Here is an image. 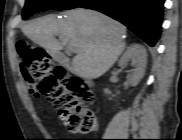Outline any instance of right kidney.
<instances>
[{
  "mask_svg": "<svg viewBox=\"0 0 182 140\" xmlns=\"http://www.w3.org/2000/svg\"><path fill=\"white\" fill-rule=\"evenodd\" d=\"M129 61H131L134 69L130 71L127 79L131 86H137L145 73L147 62L145 48L140 44H132L121 57L119 65L124 67Z\"/></svg>",
  "mask_w": 182,
  "mask_h": 140,
  "instance_id": "obj_1",
  "label": "right kidney"
}]
</instances>
